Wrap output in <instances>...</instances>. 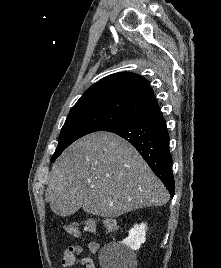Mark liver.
Here are the masks:
<instances>
[{"mask_svg": "<svg viewBox=\"0 0 221 268\" xmlns=\"http://www.w3.org/2000/svg\"><path fill=\"white\" fill-rule=\"evenodd\" d=\"M169 194L138 151L109 132L86 135L54 163L45 201L60 216L82 208L105 217L168 202Z\"/></svg>", "mask_w": 221, "mask_h": 268, "instance_id": "6515ba94", "label": "liver"}]
</instances>
